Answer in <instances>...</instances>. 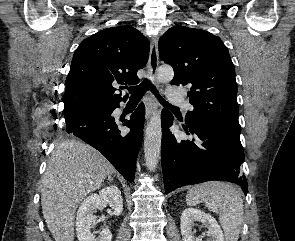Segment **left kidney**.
Here are the masks:
<instances>
[{"label":"left kidney","mask_w":295,"mask_h":241,"mask_svg":"<svg viewBox=\"0 0 295 241\" xmlns=\"http://www.w3.org/2000/svg\"><path fill=\"white\" fill-rule=\"evenodd\" d=\"M180 229L183 241H202V237H196L193 230L196 222H201L208 230L206 241H225L223 232L218 222L210 214L197 208L183 210L180 220Z\"/></svg>","instance_id":"left-kidney-1"}]
</instances>
